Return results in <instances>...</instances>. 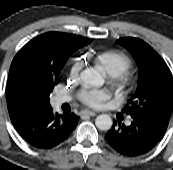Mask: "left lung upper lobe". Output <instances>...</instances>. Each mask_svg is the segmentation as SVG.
<instances>
[{"instance_id":"obj_1","label":"left lung upper lobe","mask_w":173,"mask_h":170,"mask_svg":"<svg viewBox=\"0 0 173 170\" xmlns=\"http://www.w3.org/2000/svg\"><path fill=\"white\" fill-rule=\"evenodd\" d=\"M117 42L132 53L138 65L136 91L122 112L146 117L167 127L173 108V79L167 64L141 39L126 37Z\"/></svg>"}]
</instances>
